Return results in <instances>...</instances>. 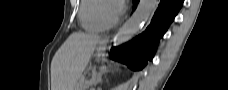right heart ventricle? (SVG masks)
<instances>
[{
    "mask_svg": "<svg viewBox=\"0 0 228 90\" xmlns=\"http://www.w3.org/2000/svg\"><path fill=\"white\" fill-rule=\"evenodd\" d=\"M103 0H82L78 18L81 26L88 32H101L106 27L98 18V8Z\"/></svg>",
    "mask_w": 228,
    "mask_h": 90,
    "instance_id": "obj_1",
    "label": "right heart ventricle"
}]
</instances>
